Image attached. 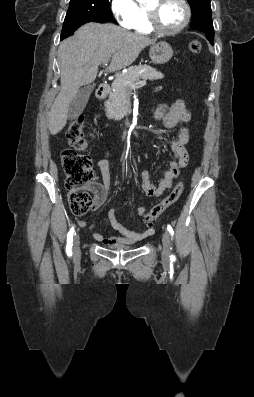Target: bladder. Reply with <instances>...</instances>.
<instances>
[{
  "label": "bladder",
  "instance_id": "1",
  "mask_svg": "<svg viewBox=\"0 0 254 397\" xmlns=\"http://www.w3.org/2000/svg\"><path fill=\"white\" fill-rule=\"evenodd\" d=\"M112 248L115 249V250H131V249H133L132 246H115V247H112Z\"/></svg>",
  "mask_w": 254,
  "mask_h": 397
}]
</instances>
